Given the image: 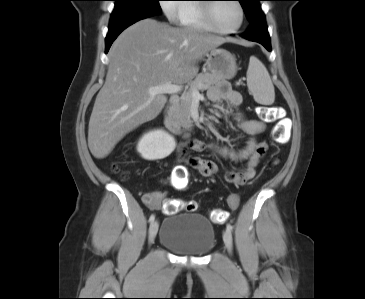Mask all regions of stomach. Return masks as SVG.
<instances>
[{
    "instance_id": "obj_1",
    "label": "stomach",
    "mask_w": 365,
    "mask_h": 299,
    "mask_svg": "<svg viewBox=\"0 0 365 299\" xmlns=\"http://www.w3.org/2000/svg\"><path fill=\"white\" fill-rule=\"evenodd\" d=\"M207 68L221 78L230 79L237 72L236 58L225 49L215 48L207 53Z\"/></svg>"
}]
</instances>
